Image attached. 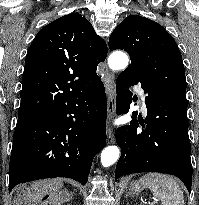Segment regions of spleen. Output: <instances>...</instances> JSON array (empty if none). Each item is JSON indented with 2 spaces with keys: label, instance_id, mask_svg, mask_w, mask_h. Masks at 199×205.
<instances>
[{
  "label": "spleen",
  "instance_id": "3e777b00",
  "mask_svg": "<svg viewBox=\"0 0 199 205\" xmlns=\"http://www.w3.org/2000/svg\"><path fill=\"white\" fill-rule=\"evenodd\" d=\"M140 182L150 188L163 205H184L183 191L172 177L160 173H147Z\"/></svg>",
  "mask_w": 199,
  "mask_h": 205
}]
</instances>
